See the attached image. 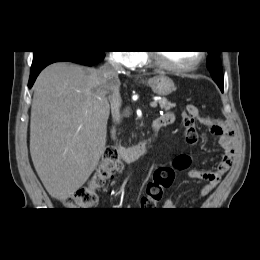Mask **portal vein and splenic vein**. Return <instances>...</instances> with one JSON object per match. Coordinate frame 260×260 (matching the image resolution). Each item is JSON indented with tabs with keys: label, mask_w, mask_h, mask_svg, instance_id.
Instances as JSON below:
<instances>
[{
	"label": "portal vein and splenic vein",
	"mask_w": 260,
	"mask_h": 260,
	"mask_svg": "<svg viewBox=\"0 0 260 260\" xmlns=\"http://www.w3.org/2000/svg\"><path fill=\"white\" fill-rule=\"evenodd\" d=\"M150 106L153 107V108H156L157 107V101H152L150 103Z\"/></svg>",
	"instance_id": "portal-vein-and-splenic-vein-1"
}]
</instances>
